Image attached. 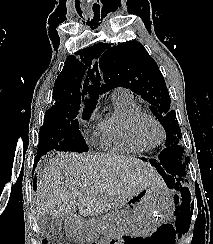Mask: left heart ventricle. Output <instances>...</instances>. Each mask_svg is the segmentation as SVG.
I'll return each instance as SVG.
<instances>
[{"instance_id": "obj_1", "label": "left heart ventricle", "mask_w": 213, "mask_h": 244, "mask_svg": "<svg viewBox=\"0 0 213 244\" xmlns=\"http://www.w3.org/2000/svg\"><path fill=\"white\" fill-rule=\"evenodd\" d=\"M142 131L143 134L152 141H157L160 138V131L158 127L150 121L143 124Z\"/></svg>"}]
</instances>
